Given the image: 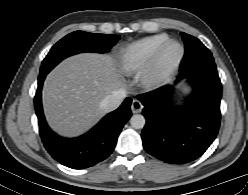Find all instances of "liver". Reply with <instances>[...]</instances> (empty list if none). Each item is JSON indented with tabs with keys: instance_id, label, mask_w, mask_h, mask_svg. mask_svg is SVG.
I'll return each mask as SVG.
<instances>
[{
	"instance_id": "6515ba94",
	"label": "liver",
	"mask_w": 248,
	"mask_h": 195,
	"mask_svg": "<svg viewBox=\"0 0 248 195\" xmlns=\"http://www.w3.org/2000/svg\"><path fill=\"white\" fill-rule=\"evenodd\" d=\"M124 83V69L111 55L82 53L65 59L44 82L49 125L63 136L83 134L105 114L100 102Z\"/></svg>"
}]
</instances>
